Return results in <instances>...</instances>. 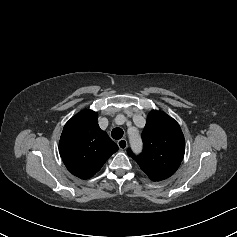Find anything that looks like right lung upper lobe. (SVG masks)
<instances>
[{
  "label": "right lung upper lobe",
  "mask_w": 237,
  "mask_h": 237,
  "mask_svg": "<svg viewBox=\"0 0 237 237\" xmlns=\"http://www.w3.org/2000/svg\"><path fill=\"white\" fill-rule=\"evenodd\" d=\"M97 118L92 110L79 112L65 124L60 137V156L67 169L81 179L92 177L118 150Z\"/></svg>",
  "instance_id": "obj_1"
}]
</instances>
